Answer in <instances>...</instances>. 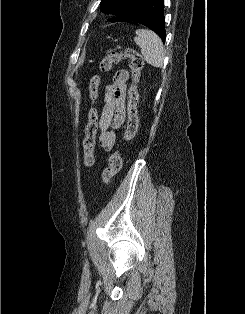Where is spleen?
<instances>
[{
    "label": "spleen",
    "mask_w": 245,
    "mask_h": 314,
    "mask_svg": "<svg viewBox=\"0 0 245 314\" xmlns=\"http://www.w3.org/2000/svg\"><path fill=\"white\" fill-rule=\"evenodd\" d=\"M144 60L151 66L161 68L164 63V46L160 37L151 30L138 29L134 38Z\"/></svg>",
    "instance_id": "3e777b00"
}]
</instances>
